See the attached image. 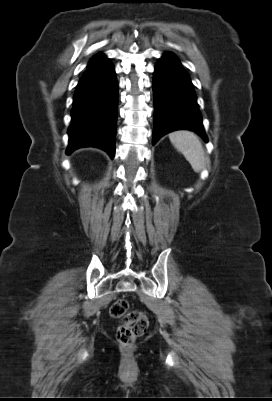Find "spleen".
Wrapping results in <instances>:
<instances>
[{
    "label": "spleen",
    "instance_id": "3e777b00",
    "mask_svg": "<svg viewBox=\"0 0 272 401\" xmlns=\"http://www.w3.org/2000/svg\"><path fill=\"white\" fill-rule=\"evenodd\" d=\"M174 147L190 163L192 169L199 173L205 167V153L198 137L190 131H176L169 135Z\"/></svg>",
    "mask_w": 272,
    "mask_h": 401
}]
</instances>
